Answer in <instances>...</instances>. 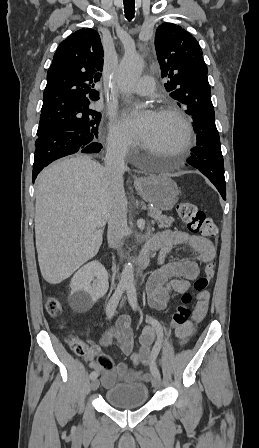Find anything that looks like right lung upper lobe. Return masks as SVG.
Segmentation results:
<instances>
[{
	"mask_svg": "<svg viewBox=\"0 0 259 448\" xmlns=\"http://www.w3.org/2000/svg\"><path fill=\"white\" fill-rule=\"evenodd\" d=\"M103 47L97 31L83 28L62 41L47 72L41 114L89 106L99 99L94 85L103 68Z\"/></svg>",
	"mask_w": 259,
	"mask_h": 448,
	"instance_id": "cb5924a9",
	"label": "right lung upper lobe"
}]
</instances>
